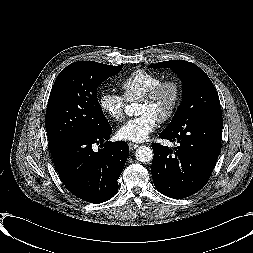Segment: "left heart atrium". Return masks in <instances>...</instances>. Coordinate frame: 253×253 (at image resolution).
Returning <instances> with one entry per match:
<instances>
[{"instance_id": "obj_1", "label": "left heart atrium", "mask_w": 253, "mask_h": 253, "mask_svg": "<svg viewBox=\"0 0 253 253\" xmlns=\"http://www.w3.org/2000/svg\"><path fill=\"white\" fill-rule=\"evenodd\" d=\"M157 122L153 116L143 114L127 120L117 129L116 135L121 140L143 142L155 130Z\"/></svg>"}]
</instances>
